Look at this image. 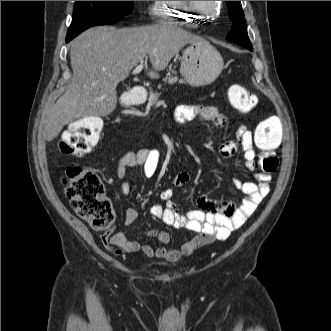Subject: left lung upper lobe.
Here are the masks:
<instances>
[{
  "label": "left lung upper lobe",
  "mask_w": 331,
  "mask_h": 331,
  "mask_svg": "<svg viewBox=\"0 0 331 331\" xmlns=\"http://www.w3.org/2000/svg\"><path fill=\"white\" fill-rule=\"evenodd\" d=\"M227 6L229 17L232 20V29L227 35V39L252 50L240 1H227Z\"/></svg>",
  "instance_id": "5c2ea615"
}]
</instances>
